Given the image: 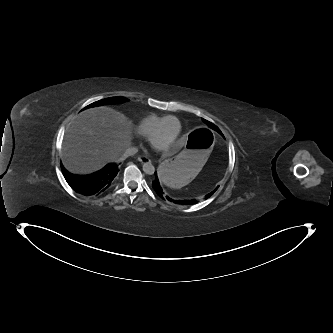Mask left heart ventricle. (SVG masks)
<instances>
[{
	"instance_id": "1",
	"label": "left heart ventricle",
	"mask_w": 333,
	"mask_h": 333,
	"mask_svg": "<svg viewBox=\"0 0 333 333\" xmlns=\"http://www.w3.org/2000/svg\"><path fill=\"white\" fill-rule=\"evenodd\" d=\"M177 131H178V125L176 120L174 119L168 120L165 123L161 133L156 139V145L162 147L168 144L176 136Z\"/></svg>"
}]
</instances>
